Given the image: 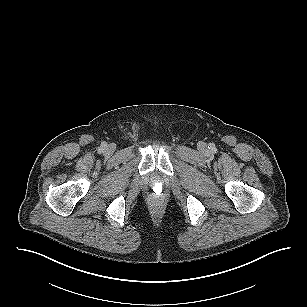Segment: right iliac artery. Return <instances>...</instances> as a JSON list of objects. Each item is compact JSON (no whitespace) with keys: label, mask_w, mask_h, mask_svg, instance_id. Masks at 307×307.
I'll return each instance as SVG.
<instances>
[{"label":"right iliac artery","mask_w":307,"mask_h":307,"mask_svg":"<svg viewBox=\"0 0 307 307\" xmlns=\"http://www.w3.org/2000/svg\"><path fill=\"white\" fill-rule=\"evenodd\" d=\"M105 146H106V144L103 142V143L101 144V149H103Z\"/></svg>","instance_id":"right-iliac-artery-1"}]
</instances>
